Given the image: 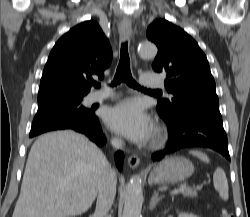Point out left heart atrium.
Segmentation results:
<instances>
[{
  "instance_id": "obj_1",
  "label": "left heart atrium",
  "mask_w": 250,
  "mask_h": 217,
  "mask_svg": "<svg viewBox=\"0 0 250 217\" xmlns=\"http://www.w3.org/2000/svg\"><path fill=\"white\" fill-rule=\"evenodd\" d=\"M104 118L113 131L136 143L147 142L154 131L151 118L135 99H126L109 107Z\"/></svg>"
}]
</instances>
